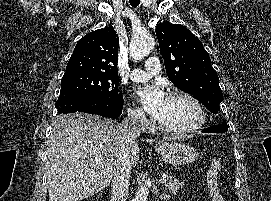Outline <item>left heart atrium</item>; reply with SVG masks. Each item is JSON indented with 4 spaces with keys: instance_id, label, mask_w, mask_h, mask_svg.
<instances>
[{
    "instance_id": "left-heart-atrium-1",
    "label": "left heart atrium",
    "mask_w": 271,
    "mask_h": 201,
    "mask_svg": "<svg viewBox=\"0 0 271 201\" xmlns=\"http://www.w3.org/2000/svg\"><path fill=\"white\" fill-rule=\"evenodd\" d=\"M135 96L143 110L155 119L160 120L163 117L168 98L160 86H140L136 89Z\"/></svg>"
}]
</instances>
